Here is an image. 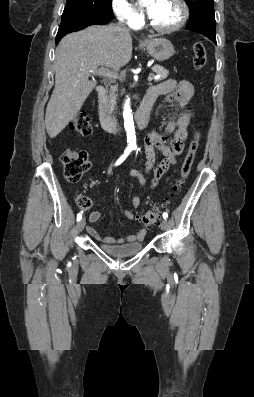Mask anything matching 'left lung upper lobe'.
Returning <instances> with one entry per match:
<instances>
[{"label": "left lung upper lobe", "mask_w": 254, "mask_h": 397, "mask_svg": "<svg viewBox=\"0 0 254 397\" xmlns=\"http://www.w3.org/2000/svg\"><path fill=\"white\" fill-rule=\"evenodd\" d=\"M190 8L191 23L215 22L214 0H185Z\"/></svg>", "instance_id": "obj_1"}]
</instances>
